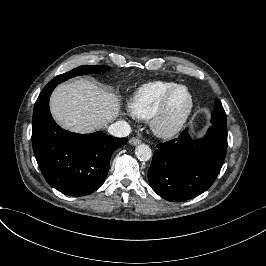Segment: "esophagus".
<instances>
[{
  "mask_svg": "<svg viewBox=\"0 0 266 266\" xmlns=\"http://www.w3.org/2000/svg\"><path fill=\"white\" fill-rule=\"evenodd\" d=\"M129 143L133 146L137 145V144H140L141 143V140L136 138V137H133L129 140Z\"/></svg>",
  "mask_w": 266,
  "mask_h": 266,
  "instance_id": "esophagus-1",
  "label": "esophagus"
}]
</instances>
